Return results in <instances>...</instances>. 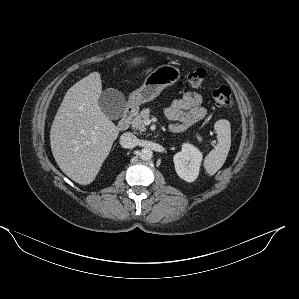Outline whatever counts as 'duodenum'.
<instances>
[{"mask_svg": "<svg viewBox=\"0 0 299 299\" xmlns=\"http://www.w3.org/2000/svg\"><path fill=\"white\" fill-rule=\"evenodd\" d=\"M132 115H133V107L128 106V107L125 109V111H124V113H123L121 119H120L119 122H118V125H117V126H118V128H119L120 130H125V129H127L128 125H129V122H130V119H131V117H132Z\"/></svg>", "mask_w": 299, "mask_h": 299, "instance_id": "duodenum-1", "label": "duodenum"}]
</instances>
